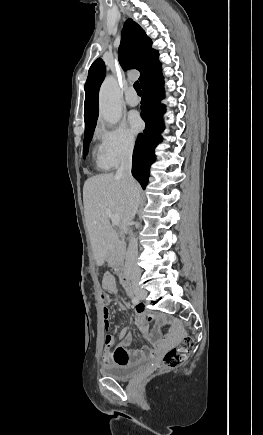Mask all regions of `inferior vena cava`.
<instances>
[{
  "label": "inferior vena cava",
  "mask_w": 263,
  "mask_h": 435,
  "mask_svg": "<svg viewBox=\"0 0 263 435\" xmlns=\"http://www.w3.org/2000/svg\"><path fill=\"white\" fill-rule=\"evenodd\" d=\"M132 153L133 148H130L124 154L121 159L120 167L116 172V175L121 177L123 180L124 190L126 194V215L129 217V222L134 218L140 203L138 185L131 174ZM137 252V240L134 235L131 234L125 259V271L130 276L138 275L140 273L136 263Z\"/></svg>",
  "instance_id": "602c4592"
}]
</instances>
